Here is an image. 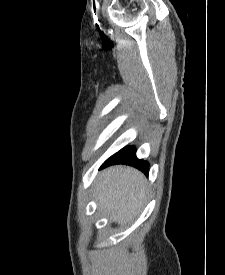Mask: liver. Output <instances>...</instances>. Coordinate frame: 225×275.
<instances>
[{"mask_svg":"<svg viewBox=\"0 0 225 275\" xmlns=\"http://www.w3.org/2000/svg\"><path fill=\"white\" fill-rule=\"evenodd\" d=\"M147 192L144 175L129 166L109 167L95 181L98 207L121 225L131 222L140 213Z\"/></svg>","mask_w":225,"mask_h":275,"instance_id":"liver-1","label":"liver"}]
</instances>
